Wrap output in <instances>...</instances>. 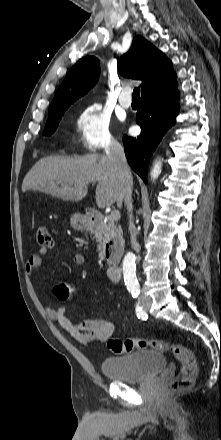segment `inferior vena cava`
<instances>
[{
    "mask_svg": "<svg viewBox=\"0 0 221 440\" xmlns=\"http://www.w3.org/2000/svg\"><path fill=\"white\" fill-rule=\"evenodd\" d=\"M106 155L108 160L112 163L114 171L118 179L120 180L122 201L124 200L125 202V206L127 208L129 216L128 230L130 233L131 246L134 250H137L139 248V244L137 243L136 239L137 229L135 227L132 214L133 181L131 171L124 153V149L117 140L111 139L107 146Z\"/></svg>",
    "mask_w": 221,
    "mask_h": 440,
    "instance_id": "1",
    "label": "inferior vena cava"
}]
</instances>
